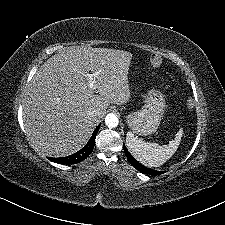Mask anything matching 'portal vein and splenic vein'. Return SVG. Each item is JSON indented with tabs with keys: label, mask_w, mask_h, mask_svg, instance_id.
<instances>
[{
	"label": "portal vein and splenic vein",
	"mask_w": 225,
	"mask_h": 225,
	"mask_svg": "<svg viewBox=\"0 0 225 225\" xmlns=\"http://www.w3.org/2000/svg\"><path fill=\"white\" fill-rule=\"evenodd\" d=\"M94 76L95 74H86V77L88 78V81H89V88L94 90L96 89V84L94 82Z\"/></svg>",
	"instance_id": "1"
}]
</instances>
